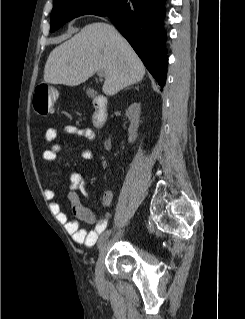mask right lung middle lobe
Returning a JSON list of instances; mask_svg holds the SVG:
<instances>
[{
	"label": "right lung middle lobe",
	"mask_w": 245,
	"mask_h": 319,
	"mask_svg": "<svg viewBox=\"0 0 245 319\" xmlns=\"http://www.w3.org/2000/svg\"><path fill=\"white\" fill-rule=\"evenodd\" d=\"M121 2L122 0H54L50 32H54L69 20L81 15L107 16Z\"/></svg>",
	"instance_id": "right-lung-middle-lobe-1"
}]
</instances>
